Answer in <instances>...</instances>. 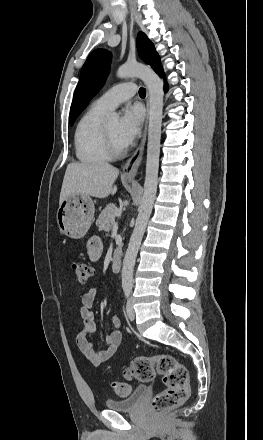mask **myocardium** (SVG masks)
<instances>
[{"label":"myocardium","mask_w":263,"mask_h":440,"mask_svg":"<svg viewBox=\"0 0 263 440\" xmlns=\"http://www.w3.org/2000/svg\"><path fill=\"white\" fill-rule=\"evenodd\" d=\"M102 137H103L104 148L110 157L116 158L125 154L126 148L118 149L113 144L112 138L110 136L109 128L107 125V121H104L102 125Z\"/></svg>","instance_id":"f54148a6"}]
</instances>
